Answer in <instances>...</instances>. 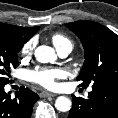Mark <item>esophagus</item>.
<instances>
[{
	"mask_svg": "<svg viewBox=\"0 0 118 118\" xmlns=\"http://www.w3.org/2000/svg\"><path fill=\"white\" fill-rule=\"evenodd\" d=\"M41 97H55L56 94L55 93H51V92H47V91H43L40 93Z\"/></svg>",
	"mask_w": 118,
	"mask_h": 118,
	"instance_id": "1",
	"label": "esophagus"
}]
</instances>
